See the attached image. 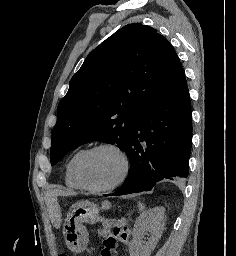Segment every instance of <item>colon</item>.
Masks as SVG:
<instances>
[{"mask_svg": "<svg viewBox=\"0 0 236 256\" xmlns=\"http://www.w3.org/2000/svg\"><path fill=\"white\" fill-rule=\"evenodd\" d=\"M117 244L118 233L112 231L108 236L103 239L99 256H117ZM60 256H65L63 250H61Z\"/></svg>", "mask_w": 236, "mask_h": 256, "instance_id": "1", "label": "colon"}]
</instances>
